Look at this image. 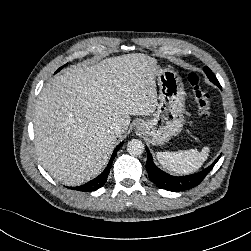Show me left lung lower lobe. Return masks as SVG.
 <instances>
[{"instance_id": "1", "label": "left lung lower lobe", "mask_w": 251, "mask_h": 251, "mask_svg": "<svg viewBox=\"0 0 251 251\" xmlns=\"http://www.w3.org/2000/svg\"><path fill=\"white\" fill-rule=\"evenodd\" d=\"M216 85L221 88L220 84L216 83ZM147 151V162L146 169L148 171V175L150 180L155 183L159 188L168 190V191H184L195 186L199 185L205 176L212 170L213 166L217 163L220 156L206 169L187 176H172L169 175L162 170H160L153 162V158L149 150Z\"/></svg>"}]
</instances>
